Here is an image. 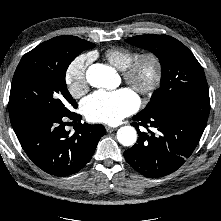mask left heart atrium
<instances>
[{
	"label": "left heart atrium",
	"instance_id": "1",
	"mask_svg": "<svg viewBox=\"0 0 221 221\" xmlns=\"http://www.w3.org/2000/svg\"><path fill=\"white\" fill-rule=\"evenodd\" d=\"M137 94L129 88L115 91L99 90L82 104L83 113L92 122L117 124L139 107Z\"/></svg>",
	"mask_w": 221,
	"mask_h": 221
}]
</instances>
